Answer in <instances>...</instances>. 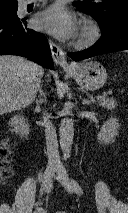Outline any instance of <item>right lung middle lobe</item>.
<instances>
[{
  "mask_svg": "<svg viewBox=\"0 0 128 213\" xmlns=\"http://www.w3.org/2000/svg\"><path fill=\"white\" fill-rule=\"evenodd\" d=\"M17 9L18 5L9 7H0V17H9L17 19Z\"/></svg>",
  "mask_w": 128,
  "mask_h": 213,
  "instance_id": "right-lung-middle-lobe-1",
  "label": "right lung middle lobe"
}]
</instances>
